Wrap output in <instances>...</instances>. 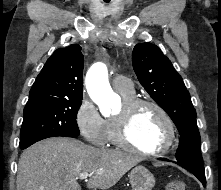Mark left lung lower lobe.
<instances>
[{
  "instance_id": "1",
  "label": "left lung lower lobe",
  "mask_w": 221,
  "mask_h": 190,
  "mask_svg": "<svg viewBox=\"0 0 221 190\" xmlns=\"http://www.w3.org/2000/svg\"><path fill=\"white\" fill-rule=\"evenodd\" d=\"M159 160L168 161V159H165V158H159ZM176 163L178 164V162H176ZM185 169L190 171L191 173H193L200 180V182H202L203 186H205V184H206L205 174H200V173L194 172V171L187 169V168H185Z\"/></svg>"
}]
</instances>
